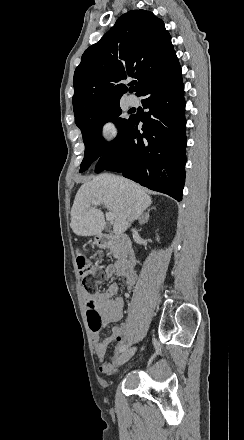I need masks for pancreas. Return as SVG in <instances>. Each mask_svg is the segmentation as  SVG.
<instances>
[{"instance_id":"cf45deb5","label":"pancreas","mask_w":244,"mask_h":440,"mask_svg":"<svg viewBox=\"0 0 244 440\" xmlns=\"http://www.w3.org/2000/svg\"><path fill=\"white\" fill-rule=\"evenodd\" d=\"M110 252L113 254L114 258H119V250L117 246H111Z\"/></svg>"}]
</instances>
